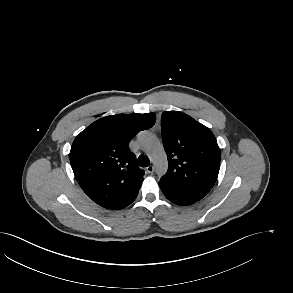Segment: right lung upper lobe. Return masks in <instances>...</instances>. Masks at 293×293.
<instances>
[{
  "instance_id": "1",
  "label": "right lung upper lobe",
  "mask_w": 293,
  "mask_h": 293,
  "mask_svg": "<svg viewBox=\"0 0 293 293\" xmlns=\"http://www.w3.org/2000/svg\"><path fill=\"white\" fill-rule=\"evenodd\" d=\"M155 121L154 113L117 114L95 121L77 135L69 154L71 166L79 185L95 203L119 210L135 200L144 171L137 166L129 142Z\"/></svg>"
}]
</instances>
